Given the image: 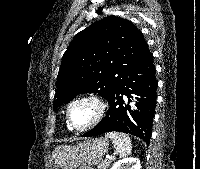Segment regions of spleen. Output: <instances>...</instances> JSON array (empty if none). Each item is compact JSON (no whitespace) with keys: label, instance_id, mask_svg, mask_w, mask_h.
I'll use <instances>...</instances> for the list:
<instances>
[{"label":"spleen","instance_id":"3e777b00","mask_svg":"<svg viewBox=\"0 0 200 169\" xmlns=\"http://www.w3.org/2000/svg\"><path fill=\"white\" fill-rule=\"evenodd\" d=\"M105 137L110 138L113 141L120 157H125L131 154L132 144L128 135L119 132H109L105 134Z\"/></svg>","mask_w":200,"mask_h":169}]
</instances>
